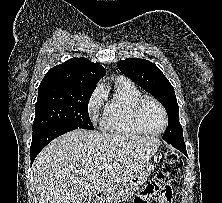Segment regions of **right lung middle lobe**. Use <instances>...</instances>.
I'll list each match as a JSON object with an SVG mask.
<instances>
[{
  "mask_svg": "<svg viewBox=\"0 0 222 203\" xmlns=\"http://www.w3.org/2000/svg\"><path fill=\"white\" fill-rule=\"evenodd\" d=\"M92 88L51 87L38 91L33 131L52 125H74L93 130L88 114Z\"/></svg>",
  "mask_w": 222,
  "mask_h": 203,
  "instance_id": "1",
  "label": "right lung middle lobe"
}]
</instances>
